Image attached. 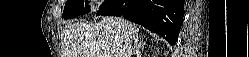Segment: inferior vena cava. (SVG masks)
Returning a JSON list of instances; mask_svg holds the SVG:
<instances>
[{"label":"inferior vena cava","mask_w":249,"mask_h":57,"mask_svg":"<svg viewBox=\"0 0 249 57\" xmlns=\"http://www.w3.org/2000/svg\"><path fill=\"white\" fill-rule=\"evenodd\" d=\"M133 51H134V49H133V48H130V49L128 50L127 55H125V56H126V57H131L132 54H133Z\"/></svg>","instance_id":"inferior-vena-cava-1"}]
</instances>
